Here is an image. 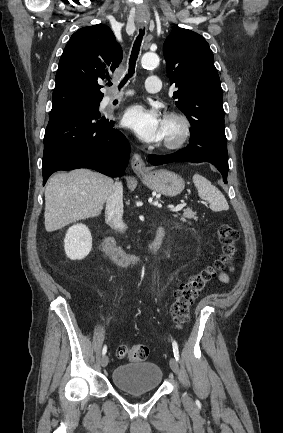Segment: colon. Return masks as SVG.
Segmentation results:
<instances>
[{"label": "colon", "instance_id": "colon-1", "mask_svg": "<svg viewBox=\"0 0 283 433\" xmlns=\"http://www.w3.org/2000/svg\"><path fill=\"white\" fill-rule=\"evenodd\" d=\"M217 235L222 245V255L212 265L191 275L174 293L171 315L178 329L188 322L190 307L205 288V286L223 270L237 252L238 231L229 224H221ZM150 349L145 344L123 345L118 349V355L129 361H142L149 355Z\"/></svg>", "mask_w": 283, "mask_h": 433}]
</instances>
